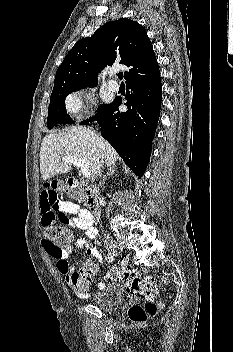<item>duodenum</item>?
Listing matches in <instances>:
<instances>
[{"mask_svg":"<svg viewBox=\"0 0 233 352\" xmlns=\"http://www.w3.org/2000/svg\"><path fill=\"white\" fill-rule=\"evenodd\" d=\"M68 186L71 190L76 189L75 179L71 178L68 181ZM84 194L87 198L89 212L92 217L96 216L99 212V191L95 186L89 185L84 189Z\"/></svg>","mask_w":233,"mask_h":352,"instance_id":"410a0bca","label":"duodenum"}]
</instances>
